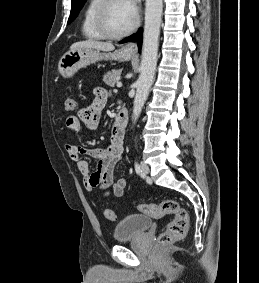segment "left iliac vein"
<instances>
[{"instance_id":"1","label":"left iliac vein","mask_w":259,"mask_h":283,"mask_svg":"<svg viewBox=\"0 0 259 283\" xmlns=\"http://www.w3.org/2000/svg\"><path fill=\"white\" fill-rule=\"evenodd\" d=\"M141 170L144 175H148L150 172L149 166L144 162L141 163Z\"/></svg>"}]
</instances>
